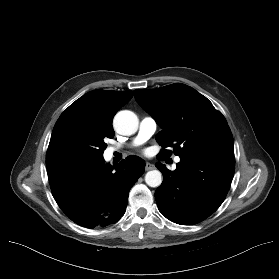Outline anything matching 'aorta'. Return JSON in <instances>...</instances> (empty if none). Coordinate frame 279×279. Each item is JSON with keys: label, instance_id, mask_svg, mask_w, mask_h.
Segmentation results:
<instances>
[{"label": "aorta", "instance_id": "aorta-1", "mask_svg": "<svg viewBox=\"0 0 279 279\" xmlns=\"http://www.w3.org/2000/svg\"><path fill=\"white\" fill-rule=\"evenodd\" d=\"M139 125L137 116L128 110L118 112L113 120V126L117 133L130 136L134 134ZM162 174L159 170L148 171L145 175V182L150 187H158L162 183Z\"/></svg>", "mask_w": 279, "mask_h": 279}]
</instances>
